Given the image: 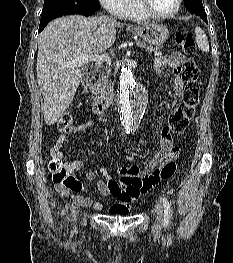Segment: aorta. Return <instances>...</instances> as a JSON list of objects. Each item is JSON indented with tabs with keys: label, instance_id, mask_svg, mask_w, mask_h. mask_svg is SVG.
Segmentation results:
<instances>
[{
	"label": "aorta",
	"instance_id": "aorta-1",
	"mask_svg": "<svg viewBox=\"0 0 233 263\" xmlns=\"http://www.w3.org/2000/svg\"><path fill=\"white\" fill-rule=\"evenodd\" d=\"M147 93L132 69L123 66L119 78V109L125 127L138 122L145 110Z\"/></svg>",
	"mask_w": 233,
	"mask_h": 263
}]
</instances>
